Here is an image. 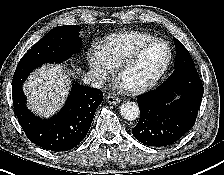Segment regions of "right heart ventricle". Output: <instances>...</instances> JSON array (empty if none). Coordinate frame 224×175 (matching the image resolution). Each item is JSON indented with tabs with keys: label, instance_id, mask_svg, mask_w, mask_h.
<instances>
[{
	"label": "right heart ventricle",
	"instance_id": "right-heart-ventricle-1",
	"mask_svg": "<svg viewBox=\"0 0 224 175\" xmlns=\"http://www.w3.org/2000/svg\"><path fill=\"white\" fill-rule=\"evenodd\" d=\"M154 39L143 32H121L109 35L98 46L103 59L113 68L130 56L139 46Z\"/></svg>",
	"mask_w": 224,
	"mask_h": 175
}]
</instances>
